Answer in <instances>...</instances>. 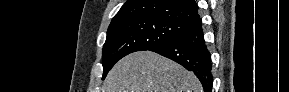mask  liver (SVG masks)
<instances>
[{
    "mask_svg": "<svg viewBox=\"0 0 289 92\" xmlns=\"http://www.w3.org/2000/svg\"><path fill=\"white\" fill-rule=\"evenodd\" d=\"M194 75L151 51L129 54L109 72L103 92H202Z\"/></svg>",
    "mask_w": 289,
    "mask_h": 92,
    "instance_id": "liver-1",
    "label": "liver"
}]
</instances>
